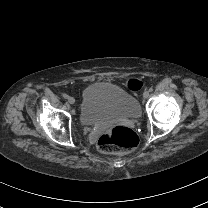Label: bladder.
I'll return each instance as SVG.
<instances>
[{
  "label": "bladder",
  "instance_id": "31cf9c89",
  "mask_svg": "<svg viewBox=\"0 0 208 208\" xmlns=\"http://www.w3.org/2000/svg\"><path fill=\"white\" fill-rule=\"evenodd\" d=\"M81 118L90 125L99 120H135L140 118V108L136 98L123 88L95 82L84 89Z\"/></svg>",
  "mask_w": 208,
  "mask_h": 208
}]
</instances>
